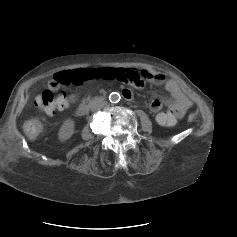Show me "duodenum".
<instances>
[{"label":"duodenum","mask_w":237,"mask_h":237,"mask_svg":"<svg viewBox=\"0 0 237 237\" xmlns=\"http://www.w3.org/2000/svg\"><path fill=\"white\" fill-rule=\"evenodd\" d=\"M122 95H123L125 98H130V97H131V93H130V91H129L128 89H123V90H122ZM101 99H102V97H94V98H89V99L84 100V101L79 105V107L77 108L76 114H77L78 116H82V115L86 114V113L89 111L90 107H91L94 103L100 101Z\"/></svg>","instance_id":"duodenum-1"}]
</instances>
